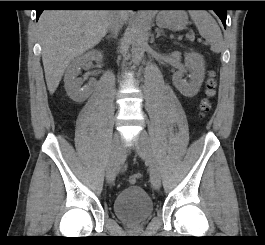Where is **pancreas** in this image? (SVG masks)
Returning <instances> with one entry per match:
<instances>
[{"label":"pancreas","mask_w":265,"mask_h":245,"mask_svg":"<svg viewBox=\"0 0 265 245\" xmlns=\"http://www.w3.org/2000/svg\"><path fill=\"white\" fill-rule=\"evenodd\" d=\"M190 40L193 41L194 40V36H189Z\"/></svg>","instance_id":"1"}]
</instances>
